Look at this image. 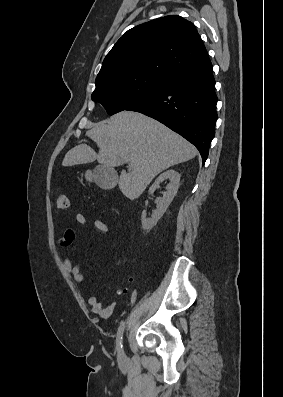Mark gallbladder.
Returning <instances> with one entry per match:
<instances>
[{
  "label": "gallbladder",
  "instance_id": "bac80fb5",
  "mask_svg": "<svg viewBox=\"0 0 283 397\" xmlns=\"http://www.w3.org/2000/svg\"><path fill=\"white\" fill-rule=\"evenodd\" d=\"M94 180L102 189H113L117 184V174L114 169L100 165L94 170Z\"/></svg>",
  "mask_w": 283,
  "mask_h": 397
}]
</instances>
